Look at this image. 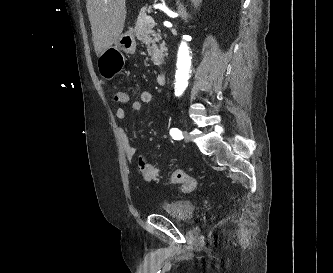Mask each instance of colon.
<instances>
[{"label": "colon", "instance_id": "obj_1", "mask_svg": "<svg viewBox=\"0 0 333 273\" xmlns=\"http://www.w3.org/2000/svg\"><path fill=\"white\" fill-rule=\"evenodd\" d=\"M114 99L116 102L126 104L129 102L130 97L124 91H117ZM139 171L142 178L146 181L152 182L158 179V171L153 166H150L144 161L139 162ZM167 184H177L180 190L184 193H190L196 189L197 181L194 177L188 175L184 171L176 170L172 172L166 181Z\"/></svg>", "mask_w": 333, "mask_h": 273}]
</instances>
